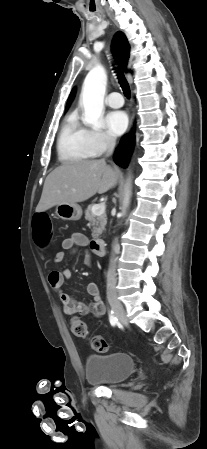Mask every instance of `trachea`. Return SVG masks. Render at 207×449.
<instances>
[{"instance_id": "3493384b", "label": "trachea", "mask_w": 207, "mask_h": 449, "mask_svg": "<svg viewBox=\"0 0 207 449\" xmlns=\"http://www.w3.org/2000/svg\"><path fill=\"white\" fill-rule=\"evenodd\" d=\"M116 73H117V76H118V79H119V83H120V86H121V88L123 90L124 95L127 98H130V86H129V84H128L124 74L120 70L116 71Z\"/></svg>"}]
</instances>
